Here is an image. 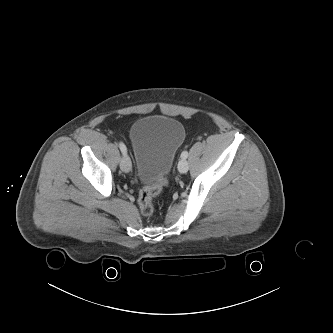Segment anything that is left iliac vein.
I'll return each mask as SVG.
<instances>
[{"instance_id": "left-iliac-vein-1", "label": "left iliac vein", "mask_w": 333, "mask_h": 333, "mask_svg": "<svg viewBox=\"0 0 333 333\" xmlns=\"http://www.w3.org/2000/svg\"><path fill=\"white\" fill-rule=\"evenodd\" d=\"M189 169V164L185 159H182L178 163V170L180 173H186Z\"/></svg>"}]
</instances>
